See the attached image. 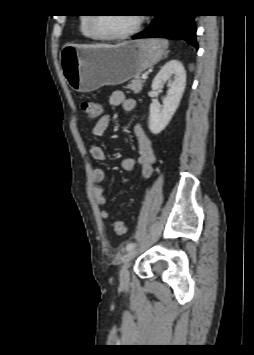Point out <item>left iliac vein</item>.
Segmentation results:
<instances>
[{"mask_svg": "<svg viewBox=\"0 0 254 355\" xmlns=\"http://www.w3.org/2000/svg\"><path fill=\"white\" fill-rule=\"evenodd\" d=\"M136 253L137 251L135 249H131L125 256L123 266L120 270V282L122 285H126L129 282V266Z\"/></svg>", "mask_w": 254, "mask_h": 355, "instance_id": "obj_1", "label": "left iliac vein"}]
</instances>
